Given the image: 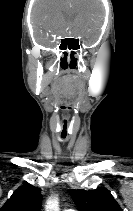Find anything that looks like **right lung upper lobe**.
Segmentation results:
<instances>
[{
  "mask_svg": "<svg viewBox=\"0 0 133 211\" xmlns=\"http://www.w3.org/2000/svg\"><path fill=\"white\" fill-rule=\"evenodd\" d=\"M41 190L30 184L20 186L0 211H40Z\"/></svg>",
  "mask_w": 133,
  "mask_h": 211,
  "instance_id": "cb5924a9",
  "label": "right lung upper lobe"
}]
</instances>
